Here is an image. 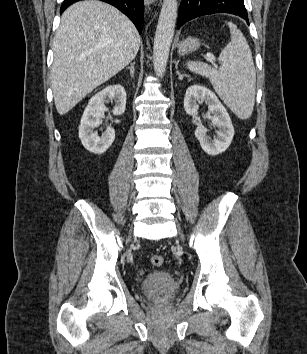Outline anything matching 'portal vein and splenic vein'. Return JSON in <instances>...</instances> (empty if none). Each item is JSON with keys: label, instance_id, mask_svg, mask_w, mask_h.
Listing matches in <instances>:
<instances>
[{"label": "portal vein and splenic vein", "instance_id": "obj_1", "mask_svg": "<svg viewBox=\"0 0 307 354\" xmlns=\"http://www.w3.org/2000/svg\"><path fill=\"white\" fill-rule=\"evenodd\" d=\"M208 61H215V57L213 55H207Z\"/></svg>", "mask_w": 307, "mask_h": 354}]
</instances>
